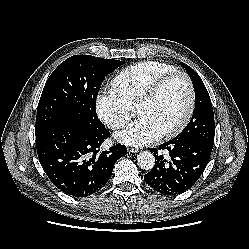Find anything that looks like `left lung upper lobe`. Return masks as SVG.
<instances>
[{"label":"left lung upper lobe","mask_w":249,"mask_h":249,"mask_svg":"<svg viewBox=\"0 0 249 249\" xmlns=\"http://www.w3.org/2000/svg\"><path fill=\"white\" fill-rule=\"evenodd\" d=\"M195 90V109L184 130L175 137L179 141L199 140L213 145L215 136L214 113L208 91L200 76L187 64L181 63Z\"/></svg>","instance_id":"1"}]
</instances>
